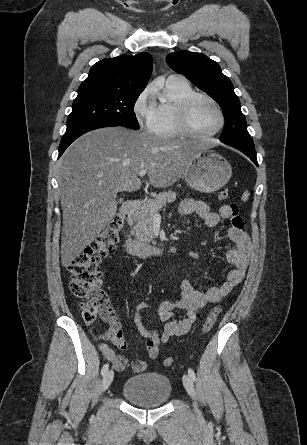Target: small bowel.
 <instances>
[{
    "label": "small bowel",
    "mask_w": 307,
    "mask_h": 445,
    "mask_svg": "<svg viewBox=\"0 0 307 445\" xmlns=\"http://www.w3.org/2000/svg\"><path fill=\"white\" fill-rule=\"evenodd\" d=\"M179 212L186 217L193 215L200 217L208 228L217 226L222 219L231 218L229 205H223L217 212H213L203 202L193 199L183 200L179 206ZM227 238L232 246L227 250L226 258L233 265V269L228 273L226 280L205 290L196 288L187 280L182 281L181 298L177 301H164L158 306V315L165 322L162 333L144 323L141 311L148 308L149 303L138 304L133 323L138 333L146 340L149 358H157L159 346L170 337L188 333L198 314L208 303L219 302L243 280L252 254L250 237L243 229L231 227L227 232ZM107 336L108 334H104L102 337ZM118 347L124 349L126 343ZM99 349L116 370L122 371L128 365L129 361L125 356L116 354L106 344H99ZM131 367L134 372L140 373L146 369V362L142 359H134Z\"/></svg>",
    "instance_id": "obj_1"
}]
</instances>
